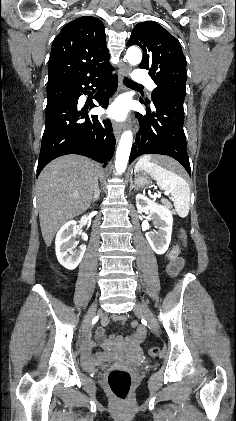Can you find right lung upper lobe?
<instances>
[{
  "mask_svg": "<svg viewBox=\"0 0 236 421\" xmlns=\"http://www.w3.org/2000/svg\"><path fill=\"white\" fill-rule=\"evenodd\" d=\"M109 56L102 21L92 16L77 18L65 25L53 42L47 86L109 68Z\"/></svg>",
  "mask_w": 236,
  "mask_h": 421,
  "instance_id": "cb5924a9",
  "label": "right lung upper lobe"
}]
</instances>
